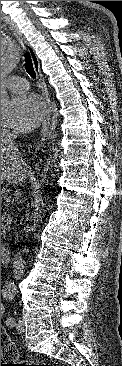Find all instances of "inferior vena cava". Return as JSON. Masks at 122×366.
I'll list each match as a JSON object with an SVG mask.
<instances>
[{
	"label": "inferior vena cava",
	"instance_id": "inferior-vena-cava-1",
	"mask_svg": "<svg viewBox=\"0 0 122 366\" xmlns=\"http://www.w3.org/2000/svg\"><path fill=\"white\" fill-rule=\"evenodd\" d=\"M16 138V136L14 135V134H10V135H6L3 139H2V142H4L9 148L11 147V148H15V146H14V139ZM20 254V253H19ZM16 257H17V255H16ZM18 258H16L15 260V262L14 263H17L18 262V260H17Z\"/></svg>",
	"mask_w": 122,
	"mask_h": 366
}]
</instances>
